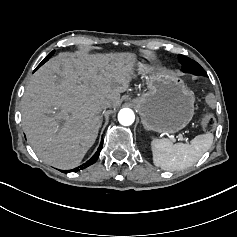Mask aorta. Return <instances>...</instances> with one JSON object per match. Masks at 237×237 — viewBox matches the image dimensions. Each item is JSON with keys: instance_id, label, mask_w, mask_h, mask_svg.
I'll list each match as a JSON object with an SVG mask.
<instances>
[{"instance_id": "762f6f07", "label": "aorta", "mask_w": 237, "mask_h": 237, "mask_svg": "<svg viewBox=\"0 0 237 237\" xmlns=\"http://www.w3.org/2000/svg\"><path fill=\"white\" fill-rule=\"evenodd\" d=\"M135 120L134 112L129 108H123L118 113V121L123 126L131 125Z\"/></svg>"}]
</instances>
